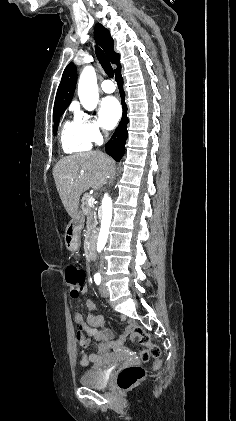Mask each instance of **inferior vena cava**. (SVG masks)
<instances>
[{
    "label": "inferior vena cava",
    "instance_id": "obj_1",
    "mask_svg": "<svg viewBox=\"0 0 236 421\" xmlns=\"http://www.w3.org/2000/svg\"><path fill=\"white\" fill-rule=\"evenodd\" d=\"M104 134H105V136H108V134H109L108 130H105ZM99 269H100V273H103V269H104V263H103V261H100V267H99Z\"/></svg>",
    "mask_w": 236,
    "mask_h": 421
}]
</instances>
